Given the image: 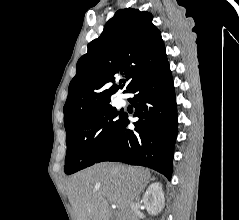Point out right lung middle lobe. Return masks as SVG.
I'll return each mask as SVG.
<instances>
[{"instance_id":"obj_1","label":"right lung middle lobe","mask_w":239,"mask_h":220,"mask_svg":"<svg viewBox=\"0 0 239 220\" xmlns=\"http://www.w3.org/2000/svg\"><path fill=\"white\" fill-rule=\"evenodd\" d=\"M123 116L107 105L76 120L66 130L65 173L72 174L95 164L113 140Z\"/></svg>"}]
</instances>
